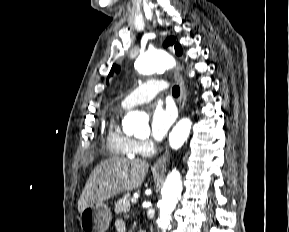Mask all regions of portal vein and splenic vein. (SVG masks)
<instances>
[{"label":"portal vein and splenic vein","mask_w":289,"mask_h":232,"mask_svg":"<svg viewBox=\"0 0 289 232\" xmlns=\"http://www.w3.org/2000/svg\"><path fill=\"white\" fill-rule=\"evenodd\" d=\"M131 202H132L133 204H135V203H136V199H135V198H132V199H131Z\"/></svg>","instance_id":"1"}]
</instances>
